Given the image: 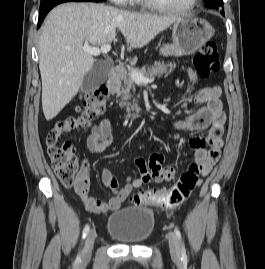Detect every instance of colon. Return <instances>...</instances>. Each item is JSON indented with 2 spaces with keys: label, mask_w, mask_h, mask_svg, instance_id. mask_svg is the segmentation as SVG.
I'll return each instance as SVG.
<instances>
[{
  "label": "colon",
  "mask_w": 265,
  "mask_h": 269,
  "mask_svg": "<svg viewBox=\"0 0 265 269\" xmlns=\"http://www.w3.org/2000/svg\"><path fill=\"white\" fill-rule=\"evenodd\" d=\"M194 65L203 77L219 70L220 60L217 45L214 41H206L194 57ZM108 89L102 85L87 93L82 104L77 108V114L58 121L47 135L46 145L52 168L64 186H72L79 173V162L74 155L70 142L59 143L63 134L71 131L87 130L91 121L101 115L106 107ZM221 130L216 127L213 136H218ZM201 165L192 162L180 175L169 190H141L132 198L136 205L149 204L158 207H175L185 202L198 185Z\"/></svg>",
  "instance_id": "5ec220e1"
}]
</instances>
